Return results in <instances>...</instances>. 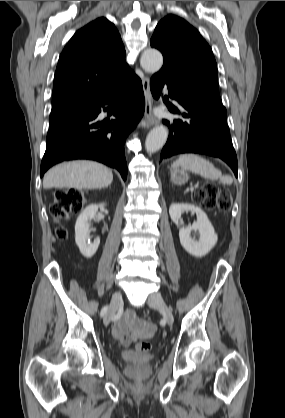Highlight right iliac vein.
I'll use <instances>...</instances> for the list:
<instances>
[{
    "label": "right iliac vein",
    "instance_id": "obj_1",
    "mask_svg": "<svg viewBox=\"0 0 285 418\" xmlns=\"http://www.w3.org/2000/svg\"><path fill=\"white\" fill-rule=\"evenodd\" d=\"M122 302V295L120 292H115L112 296L110 306L108 308V311L104 317V325L108 326L111 322L112 318L115 316V313L117 309L120 307Z\"/></svg>",
    "mask_w": 285,
    "mask_h": 418
}]
</instances>
